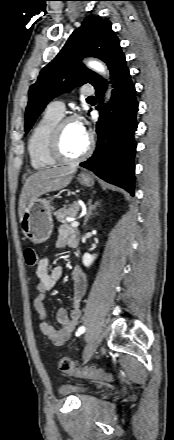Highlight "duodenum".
Listing matches in <instances>:
<instances>
[{
    "label": "duodenum",
    "instance_id": "obj_1",
    "mask_svg": "<svg viewBox=\"0 0 174 440\" xmlns=\"http://www.w3.org/2000/svg\"><path fill=\"white\" fill-rule=\"evenodd\" d=\"M79 244V239L77 240V244L76 245H78Z\"/></svg>",
    "mask_w": 174,
    "mask_h": 440
}]
</instances>
